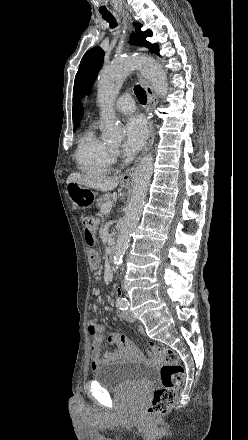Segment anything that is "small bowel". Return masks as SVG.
<instances>
[{
	"label": "small bowel",
	"instance_id": "1",
	"mask_svg": "<svg viewBox=\"0 0 248 440\" xmlns=\"http://www.w3.org/2000/svg\"><path fill=\"white\" fill-rule=\"evenodd\" d=\"M87 330L89 335L93 338L91 354L92 367L94 370L104 363L128 357H137L139 355L136 347L126 335L114 333L105 337L103 324L96 320H90L88 322ZM137 331L143 333L144 328L139 325L137 326ZM106 343L113 345L115 349L112 351H105L104 348ZM146 343L148 347H155L157 342L155 338H148Z\"/></svg>",
	"mask_w": 248,
	"mask_h": 440
}]
</instances>
